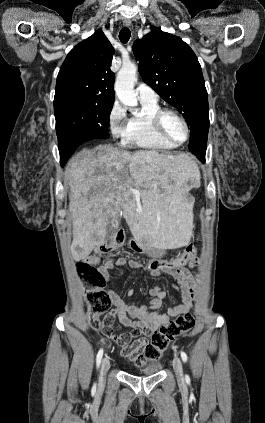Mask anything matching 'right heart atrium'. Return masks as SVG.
<instances>
[{
  "instance_id": "right-heart-atrium-1",
  "label": "right heart atrium",
  "mask_w": 265,
  "mask_h": 423,
  "mask_svg": "<svg viewBox=\"0 0 265 423\" xmlns=\"http://www.w3.org/2000/svg\"><path fill=\"white\" fill-rule=\"evenodd\" d=\"M126 119L125 108L118 101H114L107 117L108 126L114 138L123 137Z\"/></svg>"
}]
</instances>
